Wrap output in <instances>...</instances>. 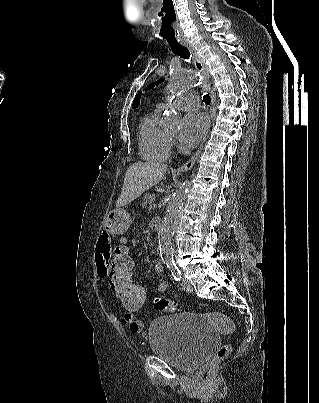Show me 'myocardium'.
I'll use <instances>...</instances> for the list:
<instances>
[{
    "label": "myocardium",
    "mask_w": 319,
    "mask_h": 403,
    "mask_svg": "<svg viewBox=\"0 0 319 403\" xmlns=\"http://www.w3.org/2000/svg\"><path fill=\"white\" fill-rule=\"evenodd\" d=\"M167 137H168L169 141H172V139H173L172 136L167 134Z\"/></svg>",
    "instance_id": "myocardium-1"
}]
</instances>
